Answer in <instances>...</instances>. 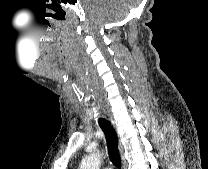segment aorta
I'll return each mask as SVG.
<instances>
[{"mask_svg": "<svg viewBox=\"0 0 208 169\" xmlns=\"http://www.w3.org/2000/svg\"><path fill=\"white\" fill-rule=\"evenodd\" d=\"M101 154L99 152L85 156L79 169H99Z\"/></svg>", "mask_w": 208, "mask_h": 169, "instance_id": "obj_1", "label": "aorta"}]
</instances>
